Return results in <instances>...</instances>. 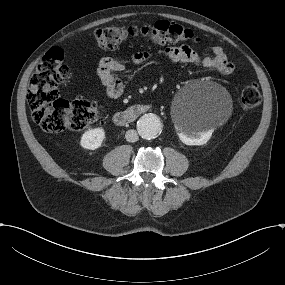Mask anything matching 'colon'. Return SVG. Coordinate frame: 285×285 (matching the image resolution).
Masks as SVG:
<instances>
[{"mask_svg":"<svg viewBox=\"0 0 285 285\" xmlns=\"http://www.w3.org/2000/svg\"><path fill=\"white\" fill-rule=\"evenodd\" d=\"M94 39L96 45L105 50H114L126 41L137 39L155 45L199 41L190 29L166 20L145 26L100 28L94 32ZM68 75L69 67L64 63L63 51L52 48L43 56L30 78L27 102L31 116L47 132L80 131L100 118L96 103L81 99L68 101L60 97L58 86ZM260 102L261 93L255 84L243 88L240 103L244 109L255 108Z\"/></svg>","mask_w":285,"mask_h":285,"instance_id":"colon-1","label":"colon"}]
</instances>
